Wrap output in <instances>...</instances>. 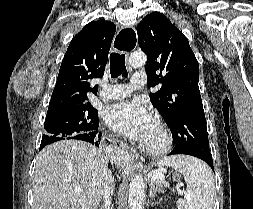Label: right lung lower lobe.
Returning a JSON list of instances; mask_svg holds the SVG:
<instances>
[{
  "label": "right lung lower lobe",
  "instance_id": "right-lung-lower-lobe-1",
  "mask_svg": "<svg viewBox=\"0 0 253 209\" xmlns=\"http://www.w3.org/2000/svg\"><path fill=\"white\" fill-rule=\"evenodd\" d=\"M94 130L90 133L87 134H80L74 137V139H78V140H83V141H87L90 142L92 144H95L96 146H99L101 138L100 135L101 133L98 134V123H96L94 125Z\"/></svg>",
  "mask_w": 253,
  "mask_h": 209
}]
</instances>
